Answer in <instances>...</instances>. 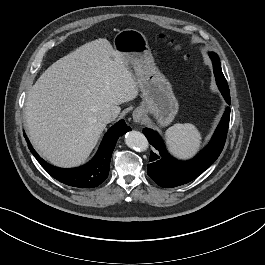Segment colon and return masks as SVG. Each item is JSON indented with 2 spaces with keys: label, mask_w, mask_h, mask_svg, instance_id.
<instances>
[{
  "label": "colon",
  "mask_w": 265,
  "mask_h": 265,
  "mask_svg": "<svg viewBox=\"0 0 265 265\" xmlns=\"http://www.w3.org/2000/svg\"><path fill=\"white\" fill-rule=\"evenodd\" d=\"M170 43L173 44V40H170ZM177 48H178V46H177ZM186 59L191 60L190 55H187V56H186Z\"/></svg>",
  "instance_id": "1"
}]
</instances>
